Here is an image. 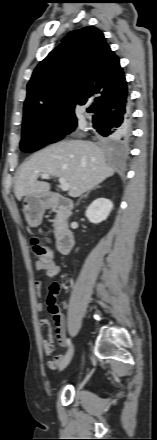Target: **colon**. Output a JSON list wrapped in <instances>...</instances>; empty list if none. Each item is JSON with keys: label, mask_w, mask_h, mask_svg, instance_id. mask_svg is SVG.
Returning <instances> with one entry per match:
<instances>
[{"label": "colon", "mask_w": 157, "mask_h": 440, "mask_svg": "<svg viewBox=\"0 0 157 440\" xmlns=\"http://www.w3.org/2000/svg\"><path fill=\"white\" fill-rule=\"evenodd\" d=\"M32 247L34 254L37 256L38 261L37 264H47L52 261L50 250L41 243L38 238L32 239ZM59 291V285L57 283H53L49 288V296H48V305L52 308H56V294Z\"/></svg>", "instance_id": "colon-1"}]
</instances>
